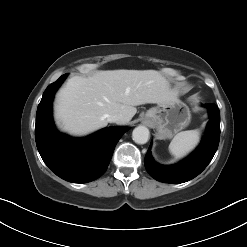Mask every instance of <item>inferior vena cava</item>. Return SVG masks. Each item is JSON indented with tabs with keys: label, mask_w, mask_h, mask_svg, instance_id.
<instances>
[{
	"label": "inferior vena cava",
	"mask_w": 247,
	"mask_h": 247,
	"mask_svg": "<svg viewBox=\"0 0 247 247\" xmlns=\"http://www.w3.org/2000/svg\"><path fill=\"white\" fill-rule=\"evenodd\" d=\"M107 120L110 123H125L126 122L125 116L120 113H114V114L108 115Z\"/></svg>",
	"instance_id": "602c4592"
}]
</instances>
